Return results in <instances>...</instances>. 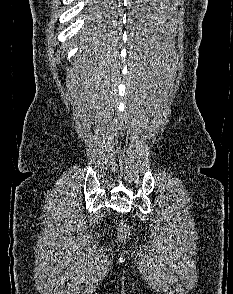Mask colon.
<instances>
[{
	"mask_svg": "<svg viewBox=\"0 0 233 294\" xmlns=\"http://www.w3.org/2000/svg\"><path fill=\"white\" fill-rule=\"evenodd\" d=\"M120 232H121V236H123V237H125L128 234V230L126 227H122L120 229Z\"/></svg>",
	"mask_w": 233,
	"mask_h": 294,
	"instance_id": "1",
	"label": "colon"
}]
</instances>
